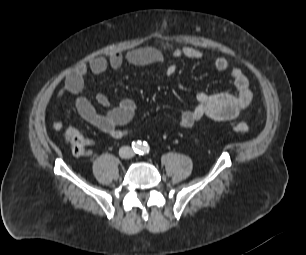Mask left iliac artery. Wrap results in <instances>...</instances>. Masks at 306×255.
Returning <instances> with one entry per match:
<instances>
[{
	"instance_id": "obj_1",
	"label": "left iliac artery",
	"mask_w": 306,
	"mask_h": 255,
	"mask_svg": "<svg viewBox=\"0 0 306 255\" xmlns=\"http://www.w3.org/2000/svg\"><path fill=\"white\" fill-rule=\"evenodd\" d=\"M148 152H149V146H148V144L146 142H144V144H143V146L141 148V153L142 154H146Z\"/></svg>"
}]
</instances>
